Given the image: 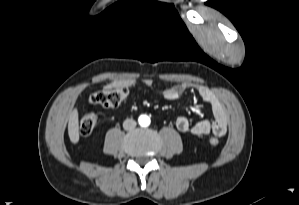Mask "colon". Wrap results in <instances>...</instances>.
Returning a JSON list of instances; mask_svg holds the SVG:
<instances>
[{"label": "colon", "mask_w": 299, "mask_h": 205, "mask_svg": "<svg viewBox=\"0 0 299 205\" xmlns=\"http://www.w3.org/2000/svg\"><path fill=\"white\" fill-rule=\"evenodd\" d=\"M128 95V87L126 85H120L114 88H104L100 91L93 93L89 97V103L91 105L101 106L104 108L116 107L121 104ZM97 115L92 111L83 112L79 121V131L83 136L91 134L97 124ZM209 142L212 146L219 144L217 137H211Z\"/></svg>", "instance_id": "colon-1"}]
</instances>
